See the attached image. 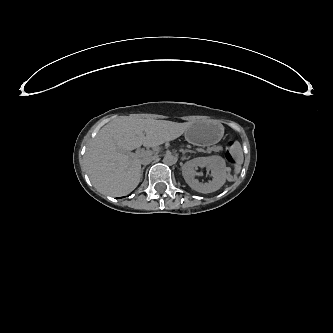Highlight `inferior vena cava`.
I'll list each match as a JSON object with an SVG mask.
<instances>
[{"mask_svg": "<svg viewBox=\"0 0 333 333\" xmlns=\"http://www.w3.org/2000/svg\"><path fill=\"white\" fill-rule=\"evenodd\" d=\"M154 159H155V157H147V158L142 159L141 163L143 165H147V164L151 163Z\"/></svg>", "mask_w": 333, "mask_h": 333, "instance_id": "inferior-vena-cava-1", "label": "inferior vena cava"}]
</instances>
